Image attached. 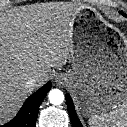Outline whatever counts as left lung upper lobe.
<instances>
[{
	"label": "left lung upper lobe",
	"instance_id": "5c2ea615",
	"mask_svg": "<svg viewBox=\"0 0 127 127\" xmlns=\"http://www.w3.org/2000/svg\"><path fill=\"white\" fill-rule=\"evenodd\" d=\"M122 15H124L125 17H127V15H125L124 13H122Z\"/></svg>",
	"mask_w": 127,
	"mask_h": 127
}]
</instances>
